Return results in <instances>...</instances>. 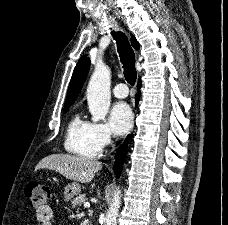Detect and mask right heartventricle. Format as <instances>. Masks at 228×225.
<instances>
[{
	"mask_svg": "<svg viewBox=\"0 0 228 225\" xmlns=\"http://www.w3.org/2000/svg\"><path fill=\"white\" fill-rule=\"evenodd\" d=\"M64 149L68 153L85 158H95L101 154L102 147L95 138L92 124L83 121L77 112L67 123Z\"/></svg>",
	"mask_w": 228,
	"mask_h": 225,
	"instance_id": "obj_1",
	"label": "right heart ventricle"
}]
</instances>
